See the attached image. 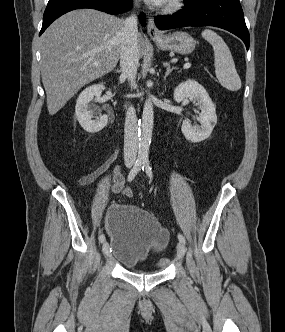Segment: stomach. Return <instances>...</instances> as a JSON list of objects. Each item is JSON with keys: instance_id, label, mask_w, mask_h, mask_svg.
I'll return each mask as SVG.
<instances>
[{"instance_id": "0dacf381", "label": "stomach", "mask_w": 285, "mask_h": 332, "mask_svg": "<svg viewBox=\"0 0 285 332\" xmlns=\"http://www.w3.org/2000/svg\"><path fill=\"white\" fill-rule=\"evenodd\" d=\"M153 41L161 50L174 51L183 55L194 51L196 41L186 32H176L172 35H163L153 38Z\"/></svg>"}]
</instances>
